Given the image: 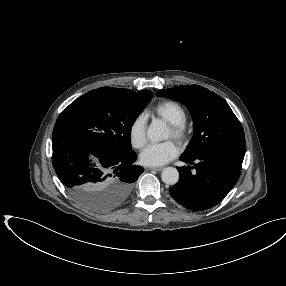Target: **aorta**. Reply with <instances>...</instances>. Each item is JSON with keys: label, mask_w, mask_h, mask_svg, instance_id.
Segmentation results:
<instances>
[{"label": "aorta", "mask_w": 286, "mask_h": 286, "mask_svg": "<svg viewBox=\"0 0 286 286\" xmlns=\"http://www.w3.org/2000/svg\"><path fill=\"white\" fill-rule=\"evenodd\" d=\"M147 136L151 141L158 142L168 138L166 126L161 122H153L147 129ZM162 181L174 185L179 180V172L174 167H167L161 173Z\"/></svg>", "instance_id": "762f6f07"}]
</instances>
